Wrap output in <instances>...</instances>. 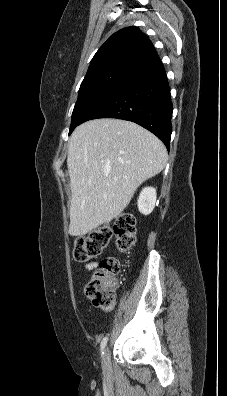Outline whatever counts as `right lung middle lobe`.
I'll return each mask as SVG.
<instances>
[{
    "label": "right lung middle lobe",
    "instance_id": "right-lung-middle-lobe-1",
    "mask_svg": "<svg viewBox=\"0 0 227 396\" xmlns=\"http://www.w3.org/2000/svg\"><path fill=\"white\" fill-rule=\"evenodd\" d=\"M131 72L132 70L125 68H110L85 76L72 113L69 135L76 126L81 124L84 116L128 77Z\"/></svg>",
    "mask_w": 227,
    "mask_h": 396
}]
</instances>
